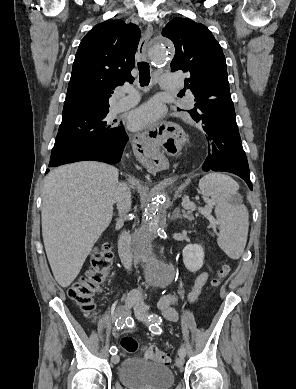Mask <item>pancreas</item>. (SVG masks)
Segmentation results:
<instances>
[{"mask_svg": "<svg viewBox=\"0 0 296 389\" xmlns=\"http://www.w3.org/2000/svg\"><path fill=\"white\" fill-rule=\"evenodd\" d=\"M196 209V206L194 205V207L191 209V211L189 212H184V218L188 219L189 221H192L194 219V216L192 215V212ZM203 208H198V211L200 213L203 212Z\"/></svg>", "mask_w": 296, "mask_h": 389, "instance_id": "obj_1", "label": "pancreas"}]
</instances>
